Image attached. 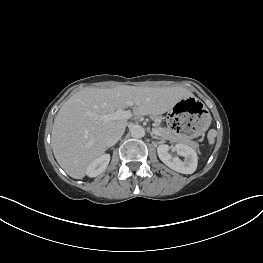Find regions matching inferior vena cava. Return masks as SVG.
<instances>
[{
	"label": "inferior vena cava",
	"mask_w": 263,
	"mask_h": 263,
	"mask_svg": "<svg viewBox=\"0 0 263 263\" xmlns=\"http://www.w3.org/2000/svg\"><path fill=\"white\" fill-rule=\"evenodd\" d=\"M124 131L125 129H120V128L112 130L106 139V145L108 147L115 145L122 137Z\"/></svg>",
	"instance_id": "1"
}]
</instances>
